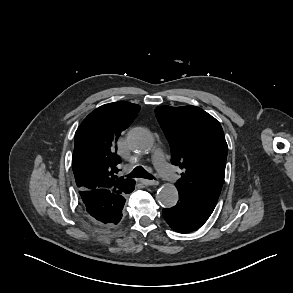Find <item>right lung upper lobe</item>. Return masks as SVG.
Here are the masks:
<instances>
[{
    "label": "right lung upper lobe",
    "instance_id": "cb5924a9",
    "mask_svg": "<svg viewBox=\"0 0 293 293\" xmlns=\"http://www.w3.org/2000/svg\"><path fill=\"white\" fill-rule=\"evenodd\" d=\"M140 106L125 101L105 104L89 114L75 133L72 167L81 191L122 190L133 181L118 177L116 142Z\"/></svg>",
    "mask_w": 293,
    "mask_h": 293
}]
</instances>
